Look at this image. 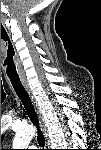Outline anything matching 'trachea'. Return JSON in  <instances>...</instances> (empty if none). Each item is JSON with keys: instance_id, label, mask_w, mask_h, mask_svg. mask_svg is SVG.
Segmentation results:
<instances>
[{"instance_id": "1", "label": "trachea", "mask_w": 101, "mask_h": 150, "mask_svg": "<svg viewBox=\"0 0 101 150\" xmlns=\"http://www.w3.org/2000/svg\"><path fill=\"white\" fill-rule=\"evenodd\" d=\"M10 81H11V84H12L17 96L19 97V99L23 103L24 108H25V110L27 112V115L29 116L31 122L38 129L37 140H38L39 146L44 147L45 139H44V136H43V134L41 133V131L39 129L38 117H37L36 111L34 109V106L31 102V99H30L27 91L25 90V88H24L23 84L21 83L20 79L10 78Z\"/></svg>"}]
</instances>
